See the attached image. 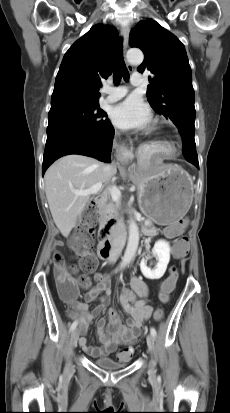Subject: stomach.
I'll return each instance as SVG.
<instances>
[{"label":"stomach","instance_id":"1","mask_svg":"<svg viewBox=\"0 0 230 413\" xmlns=\"http://www.w3.org/2000/svg\"><path fill=\"white\" fill-rule=\"evenodd\" d=\"M134 181L141 212L158 225L178 221L192 204V179L177 165L142 166Z\"/></svg>","mask_w":230,"mask_h":413}]
</instances>
